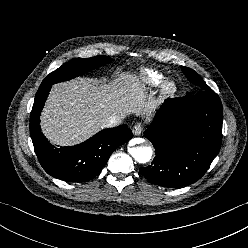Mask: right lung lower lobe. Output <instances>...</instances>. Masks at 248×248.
<instances>
[{
	"instance_id": "1",
	"label": "right lung lower lobe",
	"mask_w": 248,
	"mask_h": 248,
	"mask_svg": "<svg viewBox=\"0 0 248 248\" xmlns=\"http://www.w3.org/2000/svg\"><path fill=\"white\" fill-rule=\"evenodd\" d=\"M51 84L39 87L30 116V135L36 155L44 170L67 182L81 183L93 179L102 170L113 150L132 138L127 125L104 129L87 141L70 147H55L41 132L40 111Z\"/></svg>"
}]
</instances>
